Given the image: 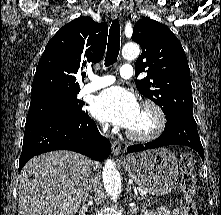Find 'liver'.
<instances>
[{
    "label": "liver",
    "mask_w": 221,
    "mask_h": 215,
    "mask_svg": "<svg viewBox=\"0 0 221 215\" xmlns=\"http://www.w3.org/2000/svg\"><path fill=\"white\" fill-rule=\"evenodd\" d=\"M92 162L70 151L30 159L19 176L18 215H74L91 178Z\"/></svg>",
    "instance_id": "obj_1"
}]
</instances>
